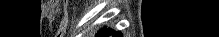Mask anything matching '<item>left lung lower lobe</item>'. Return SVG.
<instances>
[{
	"label": "left lung lower lobe",
	"mask_w": 219,
	"mask_h": 37,
	"mask_svg": "<svg viewBox=\"0 0 219 37\" xmlns=\"http://www.w3.org/2000/svg\"><path fill=\"white\" fill-rule=\"evenodd\" d=\"M109 36H113V37H122V34L120 32L115 33L114 30H109L107 33H104L101 36L98 37H109Z\"/></svg>",
	"instance_id": "obj_1"
}]
</instances>
